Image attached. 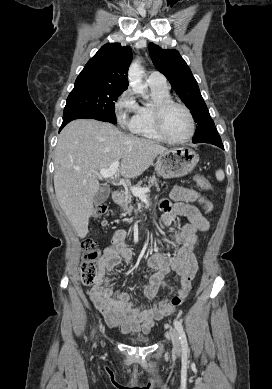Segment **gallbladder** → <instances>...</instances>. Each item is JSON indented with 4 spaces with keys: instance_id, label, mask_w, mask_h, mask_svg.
I'll list each match as a JSON object with an SVG mask.
<instances>
[{
    "instance_id": "obj_1",
    "label": "gallbladder",
    "mask_w": 272,
    "mask_h": 389,
    "mask_svg": "<svg viewBox=\"0 0 272 389\" xmlns=\"http://www.w3.org/2000/svg\"><path fill=\"white\" fill-rule=\"evenodd\" d=\"M110 195V190L109 188L106 187H101L100 190L97 192V194L94 197V204L96 206L104 203Z\"/></svg>"
}]
</instances>
